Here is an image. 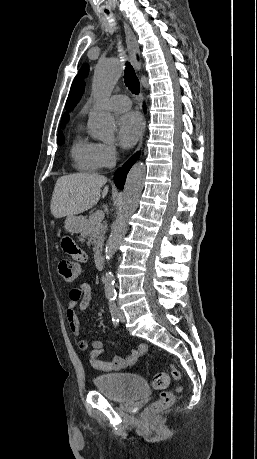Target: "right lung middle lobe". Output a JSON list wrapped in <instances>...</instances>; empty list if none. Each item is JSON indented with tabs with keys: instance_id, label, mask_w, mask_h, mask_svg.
Listing matches in <instances>:
<instances>
[{
	"instance_id": "right-lung-middle-lobe-1",
	"label": "right lung middle lobe",
	"mask_w": 257,
	"mask_h": 459,
	"mask_svg": "<svg viewBox=\"0 0 257 459\" xmlns=\"http://www.w3.org/2000/svg\"><path fill=\"white\" fill-rule=\"evenodd\" d=\"M57 142H58L59 145H62L64 143V135H63L62 132L58 133Z\"/></svg>"
}]
</instances>
